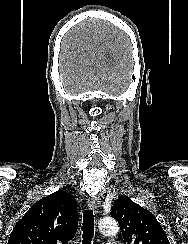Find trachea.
I'll return each mask as SVG.
<instances>
[{
  "instance_id": "obj_1",
  "label": "trachea",
  "mask_w": 188,
  "mask_h": 244,
  "mask_svg": "<svg viewBox=\"0 0 188 244\" xmlns=\"http://www.w3.org/2000/svg\"><path fill=\"white\" fill-rule=\"evenodd\" d=\"M82 238L83 244H91L92 238L94 236V215L93 210L87 209L83 213V224H82Z\"/></svg>"
}]
</instances>
